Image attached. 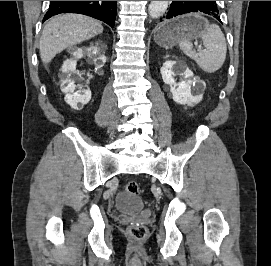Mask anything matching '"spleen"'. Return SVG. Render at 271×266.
<instances>
[{"label": "spleen", "instance_id": "spleen-1", "mask_svg": "<svg viewBox=\"0 0 271 266\" xmlns=\"http://www.w3.org/2000/svg\"><path fill=\"white\" fill-rule=\"evenodd\" d=\"M204 50L196 52L193 44L186 39L179 42L181 51L193 59L197 65L206 73L219 70L227 52L226 40L223 32L216 24H207L205 31L201 34Z\"/></svg>", "mask_w": 271, "mask_h": 266}]
</instances>
